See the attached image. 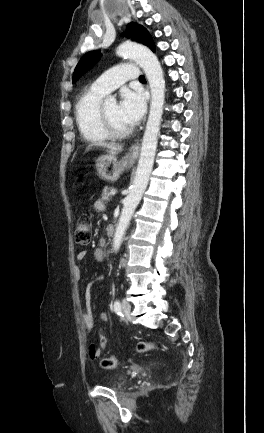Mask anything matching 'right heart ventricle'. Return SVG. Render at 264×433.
<instances>
[{
	"instance_id": "obj_1",
	"label": "right heart ventricle",
	"mask_w": 264,
	"mask_h": 433,
	"mask_svg": "<svg viewBox=\"0 0 264 433\" xmlns=\"http://www.w3.org/2000/svg\"><path fill=\"white\" fill-rule=\"evenodd\" d=\"M104 95L90 88L77 99L75 105L76 124L81 136L88 142H101L109 138L99 115Z\"/></svg>"
}]
</instances>
